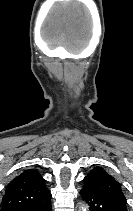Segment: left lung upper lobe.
Wrapping results in <instances>:
<instances>
[{"mask_svg": "<svg viewBox=\"0 0 133 211\" xmlns=\"http://www.w3.org/2000/svg\"><path fill=\"white\" fill-rule=\"evenodd\" d=\"M83 187L95 193L126 202L121 185L101 167H95L84 178Z\"/></svg>", "mask_w": 133, "mask_h": 211, "instance_id": "obj_1", "label": "left lung upper lobe"}]
</instances>
